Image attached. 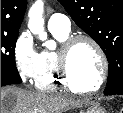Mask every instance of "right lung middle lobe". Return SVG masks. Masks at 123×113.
Returning a JSON list of instances; mask_svg holds the SVG:
<instances>
[{
	"label": "right lung middle lobe",
	"instance_id": "right-lung-middle-lobe-1",
	"mask_svg": "<svg viewBox=\"0 0 123 113\" xmlns=\"http://www.w3.org/2000/svg\"><path fill=\"white\" fill-rule=\"evenodd\" d=\"M18 34H1V86L22 82L15 63Z\"/></svg>",
	"mask_w": 123,
	"mask_h": 113
}]
</instances>
